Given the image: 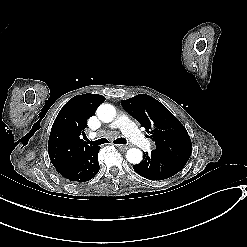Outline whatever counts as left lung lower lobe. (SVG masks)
I'll return each instance as SVG.
<instances>
[{
    "instance_id": "0a47b994",
    "label": "left lung lower lobe",
    "mask_w": 247,
    "mask_h": 247,
    "mask_svg": "<svg viewBox=\"0 0 247 247\" xmlns=\"http://www.w3.org/2000/svg\"><path fill=\"white\" fill-rule=\"evenodd\" d=\"M185 164V162L166 153L153 150L151 154L144 152L143 161L133 165V169L144 178L163 180L178 173L183 169Z\"/></svg>"
}]
</instances>
